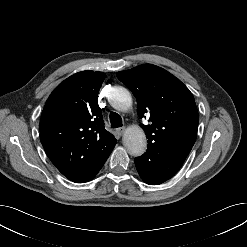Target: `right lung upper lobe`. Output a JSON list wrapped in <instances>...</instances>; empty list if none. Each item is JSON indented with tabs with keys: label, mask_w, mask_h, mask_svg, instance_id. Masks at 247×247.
<instances>
[{
	"label": "right lung upper lobe",
	"mask_w": 247,
	"mask_h": 247,
	"mask_svg": "<svg viewBox=\"0 0 247 247\" xmlns=\"http://www.w3.org/2000/svg\"><path fill=\"white\" fill-rule=\"evenodd\" d=\"M105 74L82 71L61 82L49 96L40 121L47 156L64 176L109 157L117 140L105 130L97 95Z\"/></svg>",
	"instance_id": "1"
}]
</instances>
